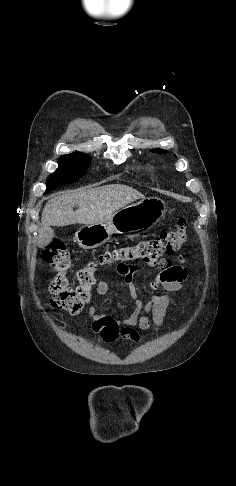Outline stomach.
Listing matches in <instances>:
<instances>
[{
  "label": "stomach",
  "mask_w": 236,
  "mask_h": 486,
  "mask_svg": "<svg viewBox=\"0 0 236 486\" xmlns=\"http://www.w3.org/2000/svg\"><path fill=\"white\" fill-rule=\"evenodd\" d=\"M166 212L165 202L158 197H148L126 205L102 223L82 226L74 239L83 249H94L106 243L114 233H133L150 229Z\"/></svg>",
  "instance_id": "0dacf381"
}]
</instances>
